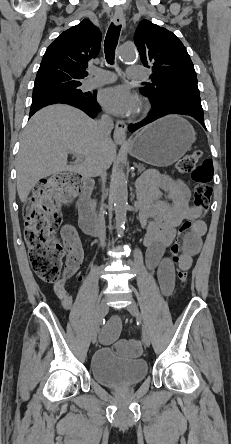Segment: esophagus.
Masks as SVG:
<instances>
[{
  "label": "esophagus",
  "instance_id": "obj_1",
  "mask_svg": "<svg viewBox=\"0 0 231 444\" xmlns=\"http://www.w3.org/2000/svg\"><path fill=\"white\" fill-rule=\"evenodd\" d=\"M113 22L115 25H121L125 28V19L122 11H116L113 16ZM127 125L122 120H117L115 124V129L113 133V138L117 143H125L127 140L126 136Z\"/></svg>",
  "mask_w": 231,
  "mask_h": 444
}]
</instances>
